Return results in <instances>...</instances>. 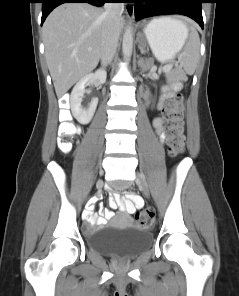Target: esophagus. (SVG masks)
I'll list each match as a JSON object with an SVG mask.
<instances>
[{"label": "esophagus", "mask_w": 239, "mask_h": 296, "mask_svg": "<svg viewBox=\"0 0 239 296\" xmlns=\"http://www.w3.org/2000/svg\"><path fill=\"white\" fill-rule=\"evenodd\" d=\"M125 11H126L128 18H130V19L134 18V6L133 5L127 4L125 6Z\"/></svg>", "instance_id": "esophagus-1"}]
</instances>
